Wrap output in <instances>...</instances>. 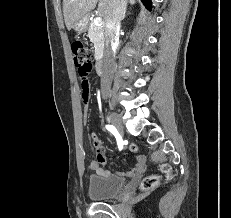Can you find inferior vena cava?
I'll list each match as a JSON object with an SVG mask.
<instances>
[{"instance_id": "1", "label": "inferior vena cava", "mask_w": 231, "mask_h": 218, "mask_svg": "<svg viewBox=\"0 0 231 218\" xmlns=\"http://www.w3.org/2000/svg\"><path fill=\"white\" fill-rule=\"evenodd\" d=\"M126 0H111L105 18V52L102 62L101 89L103 97L110 93L115 64V47L119 40L120 22L125 13Z\"/></svg>"}]
</instances>
